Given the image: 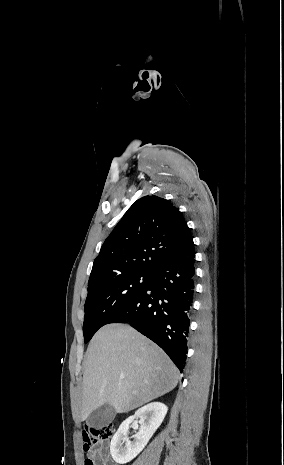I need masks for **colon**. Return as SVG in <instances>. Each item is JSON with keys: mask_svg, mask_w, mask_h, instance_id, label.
<instances>
[{"mask_svg": "<svg viewBox=\"0 0 284 465\" xmlns=\"http://www.w3.org/2000/svg\"><path fill=\"white\" fill-rule=\"evenodd\" d=\"M113 430L108 423L93 424L83 434L82 448L85 453H88L95 445L103 442L112 436ZM84 465H95V463L86 458Z\"/></svg>", "mask_w": 284, "mask_h": 465, "instance_id": "1", "label": "colon"}]
</instances>
